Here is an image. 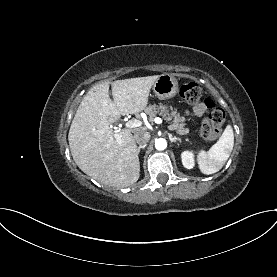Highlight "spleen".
Listing matches in <instances>:
<instances>
[{"label":"spleen","instance_id":"3e777b00","mask_svg":"<svg viewBox=\"0 0 277 277\" xmlns=\"http://www.w3.org/2000/svg\"><path fill=\"white\" fill-rule=\"evenodd\" d=\"M234 146V133L231 125H227L218 141L206 152L200 150L198 164L202 173L209 175L222 169Z\"/></svg>","mask_w":277,"mask_h":277}]
</instances>
